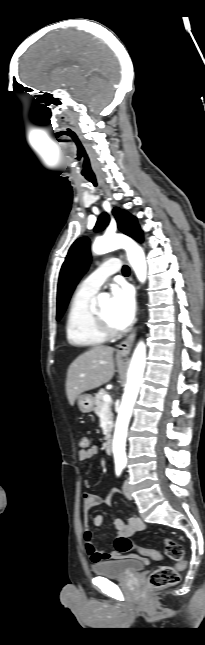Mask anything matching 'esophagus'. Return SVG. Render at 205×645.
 Here are the masks:
<instances>
[{"label":"esophagus","mask_w":205,"mask_h":645,"mask_svg":"<svg viewBox=\"0 0 205 645\" xmlns=\"http://www.w3.org/2000/svg\"><path fill=\"white\" fill-rule=\"evenodd\" d=\"M135 336H136V332L133 331L124 341H122L119 344L118 350H117L119 354H121V355L129 354V352H130V350L132 348Z\"/></svg>","instance_id":"34e87169"}]
</instances>
